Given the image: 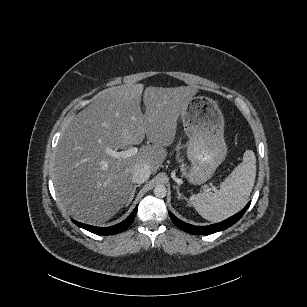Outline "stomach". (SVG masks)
I'll use <instances>...</instances> for the list:
<instances>
[{
    "instance_id": "0dacf381",
    "label": "stomach",
    "mask_w": 307,
    "mask_h": 307,
    "mask_svg": "<svg viewBox=\"0 0 307 307\" xmlns=\"http://www.w3.org/2000/svg\"><path fill=\"white\" fill-rule=\"evenodd\" d=\"M182 123L190 141L187 145L189 180L203 183L226 155L223 139L224 118L216 101L206 96H193L186 104Z\"/></svg>"
}]
</instances>
